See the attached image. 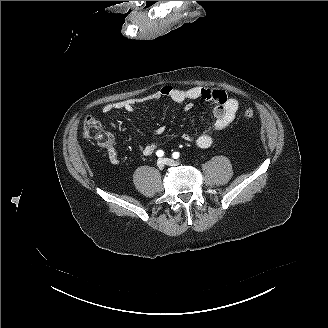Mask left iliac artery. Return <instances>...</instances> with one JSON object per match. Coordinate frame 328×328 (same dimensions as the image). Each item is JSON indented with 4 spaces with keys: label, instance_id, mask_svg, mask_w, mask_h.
Instances as JSON below:
<instances>
[{
    "label": "left iliac artery",
    "instance_id": "44dca946",
    "mask_svg": "<svg viewBox=\"0 0 328 328\" xmlns=\"http://www.w3.org/2000/svg\"><path fill=\"white\" fill-rule=\"evenodd\" d=\"M172 156H173L174 159H177V158H179L180 154H179V152H174L172 154Z\"/></svg>",
    "mask_w": 328,
    "mask_h": 328
}]
</instances>
